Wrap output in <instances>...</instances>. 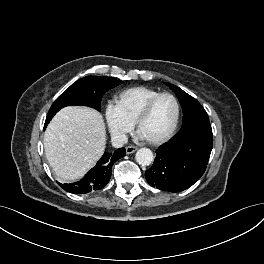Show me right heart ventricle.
<instances>
[{"label": "right heart ventricle", "mask_w": 264, "mask_h": 264, "mask_svg": "<svg viewBox=\"0 0 264 264\" xmlns=\"http://www.w3.org/2000/svg\"><path fill=\"white\" fill-rule=\"evenodd\" d=\"M158 93V90L146 86L127 88L115 96V105L125 118L135 123L146 102Z\"/></svg>", "instance_id": "e07e8e85"}]
</instances>
